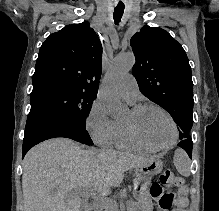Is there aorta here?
Segmentation results:
<instances>
[{
  "label": "aorta",
  "mask_w": 219,
  "mask_h": 211,
  "mask_svg": "<svg viewBox=\"0 0 219 211\" xmlns=\"http://www.w3.org/2000/svg\"><path fill=\"white\" fill-rule=\"evenodd\" d=\"M134 63L133 53L128 52L118 55L109 67L106 83L100 91V98L104 102L108 114L114 118L124 115L127 111V106L120 101L117 82L132 69Z\"/></svg>",
  "instance_id": "1"
}]
</instances>
